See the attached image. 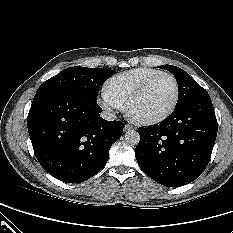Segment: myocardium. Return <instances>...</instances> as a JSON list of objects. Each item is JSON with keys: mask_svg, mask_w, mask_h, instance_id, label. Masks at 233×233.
<instances>
[{"mask_svg": "<svg viewBox=\"0 0 233 233\" xmlns=\"http://www.w3.org/2000/svg\"><path fill=\"white\" fill-rule=\"evenodd\" d=\"M162 76H166L169 77L175 86V97L174 100L171 104V106L161 115L156 116V117H152V118H143L141 123L143 125H156L159 123H162L163 121H165L166 119H168L173 112L175 111L178 102H179V98H180V87H179V83L177 78L170 72H166V71H160L154 75H152L151 77H149L147 80H145L128 98L127 102H126V110L127 113L131 112L132 106L134 105V103L139 100L141 98V96L146 92V90L149 88V86L159 77Z\"/></svg>", "mask_w": 233, "mask_h": 233, "instance_id": "obj_1", "label": "myocardium"}]
</instances>
